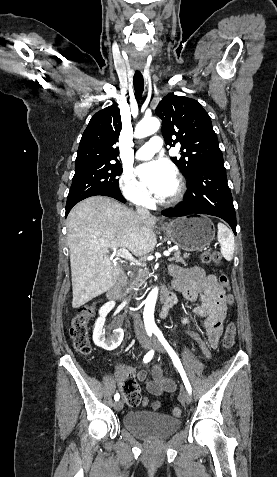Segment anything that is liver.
Masks as SVG:
<instances>
[{"mask_svg":"<svg viewBox=\"0 0 277 477\" xmlns=\"http://www.w3.org/2000/svg\"><path fill=\"white\" fill-rule=\"evenodd\" d=\"M158 219L142 217L104 196L78 203L67 217L73 300L78 308L110 290L121 273L109 250L126 248L136 256L150 253L157 242Z\"/></svg>","mask_w":277,"mask_h":477,"instance_id":"obj_1","label":"liver"}]
</instances>
